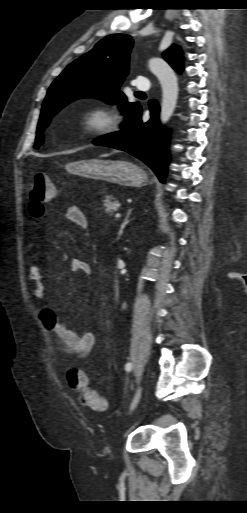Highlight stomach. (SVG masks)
<instances>
[{"label": "stomach", "instance_id": "0dacf381", "mask_svg": "<svg viewBox=\"0 0 247 513\" xmlns=\"http://www.w3.org/2000/svg\"><path fill=\"white\" fill-rule=\"evenodd\" d=\"M66 168L87 178L122 186L137 187L147 181L146 174L140 167L125 160H80L66 164Z\"/></svg>", "mask_w": 247, "mask_h": 513}]
</instances>
